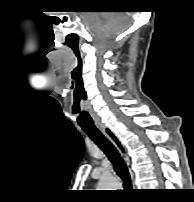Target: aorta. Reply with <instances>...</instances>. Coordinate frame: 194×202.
Here are the masks:
<instances>
[{
    "label": "aorta",
    "mask_w": 194,
    "mask_h": 202,
    "mask_svg": "<svg viewBox=\"0 0 194 202\" xmlns=\"http://www.w3.org/2000/svg\"><path fill=\"white\" fill-rule=\"evenodd\" d=\"M118 187V181L112 176H103L98 184L100 190H113Z\"/></svg>",
    "instance_id": "aorta-1"
}]
</instances>
